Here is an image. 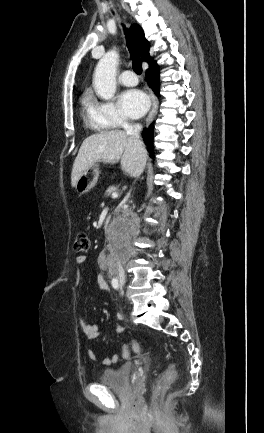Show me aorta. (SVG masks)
<instances>
[{
	"label": "aorta",
	"mask_w": 264,
	"mask_h": 433,
	"mask_svg": "<svg viewBox=\"0 0 264 433\" xmlns=\"http://www.w3.org/2000/svg\"><path fill=\"white\" fill-rule=\"evenodd\" d=\"M119 55L115 51L107 52L98 62L93 84L96 92L105 100L111 99L116 91L115 74Z\"/></svg>",
	"instance_id": "762f6f07"
}]
</instances>
